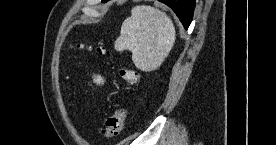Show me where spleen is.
<instances>
[{
	"instance_id": "3e777b00",
	"label": "spleen",
	"mask_w": 276,
	"mask_h": 145,
	"mask_svg": "<svg viewBox=\"0 0 276 145\" xmlns=\"http://www.w3.org/2000/svg\"><path fill=\"white\" fill-rule=\"evenodd\" d=\"M175 39V27L166 13L151 6H135L122 24L115 49L131 51L135 66L150 72L161 66Z\"/></svg>"
}]
</instances>
